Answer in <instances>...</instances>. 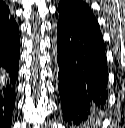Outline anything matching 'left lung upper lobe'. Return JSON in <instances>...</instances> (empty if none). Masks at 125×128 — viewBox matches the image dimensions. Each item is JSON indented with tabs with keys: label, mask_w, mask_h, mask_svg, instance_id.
<instances>
[{
	"label": "left lung upper lobe",
	"mask_w": 125,
	"mask_h": 128,
	"mask_svg": "<svg viewBox=\"0 0 125 128\" xmlns=\"http://www.w3.org/2000/svg\"><path fill=\"white\" fill-rule=\"evenodd\" d=\"M57 10L60 22L100 31L90 7L81 0H60Z\"/></svg>",
	"instance_id": "5c2ea615"
}]
</instances>
